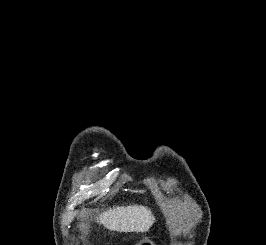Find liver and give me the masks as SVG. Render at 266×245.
I'll return each instance as SVG.
<instances>
[{"label":"liver","mask_w":266,"mask_h":245,"mask_svg":"<svg viewBox=\"0 0 266 245\" xmlns=\"http://www.w3.org/2000/svg\"><path fill=\"white\" fill-rule=\"evenodd\" d=\"M109 231L119 233H147L155 223L154 215L150 209L142 205H129V207H113L101 213L97 219Z\"/></svg>","instance_id":"obj_1"}]
</instances>
